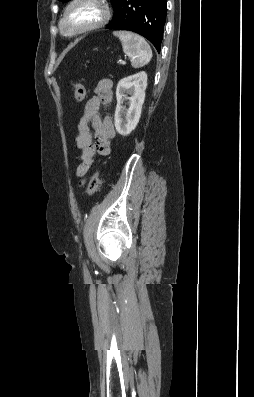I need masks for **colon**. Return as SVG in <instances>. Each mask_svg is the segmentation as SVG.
I'll use <instances>...</instances> for the list:
<instances>
[{
	"instance_id": "5ec220e1",
	"label": "colon",
	"mask_w": 254,
	"mask_h": 397,
	"mask_svg": "<svg viewBox=\"0 0 254 397\" xmlns=\"http://www.w3.org/2000/svg\"><path fill=\"white\" fill-rule=\"evenodd\" d=\"M72 86L74 89V101L76 103L82 102L86 95L84 85L79 82L73 81ZM101 184H102V179L100 177V172L98 170L91 177V180H90L88 188H87V193L89 195H94L95 193H97L99 191Z\"/></svg>"
}]
</instances>
